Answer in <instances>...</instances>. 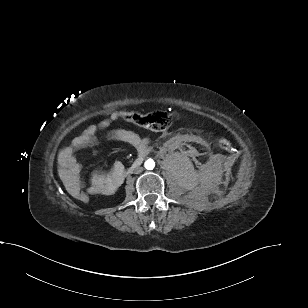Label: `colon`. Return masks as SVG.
I'll return each mask as SVG.
<instances>
[{
  "label": "colon",
  "mask_w": 308,
  "mask_h": 308,
  "mask_svg": "<svg viewBox=\"0 0 308 308\" xmlns=\"http://www.w3.org/2000/svg\"><path fill=\"white\" fill-rule=\"evenodd\" d=\"M120 117L124 120L133 123L145 129L162 132L169 129L174 123V115L167 111H155L150 113L125 112L121 113ZM218 145L225 151H230L232 145L226 138H220ZM74 198L81 203H88L90 194L81 190L74 195Z\"/></svg>",
  "instance_id": "1"
}]
</instances>
